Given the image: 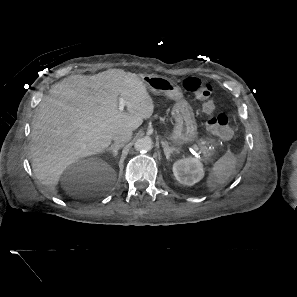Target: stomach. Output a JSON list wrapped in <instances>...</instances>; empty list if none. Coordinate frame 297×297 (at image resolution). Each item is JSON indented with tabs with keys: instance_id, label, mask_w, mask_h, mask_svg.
Listing matches in <instances>:
<instances>
[{
	"instance_id": "0dacf381",
	"label": "stomach",
	"mask_w": 297,
	"mask_h": 297,
	"mask_svg": "<svg viewBox=\"0 0 297 297\" xmlns=\"http://www.w3.org/2000/svg\"><path fill=\"white\" fill-rule=\"evenodd\" d=\"M146 87L154 94H164L176 101L171 115L175 120L169 136L175 145L190 144L196 141L198 126L191 105L183 98L180 87L171 79L158 75H145L142 78Z\"/></svg>"
}]
</instances>
